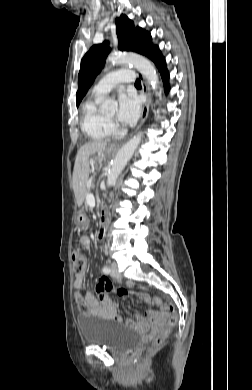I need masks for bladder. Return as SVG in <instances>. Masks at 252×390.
<instances>
[{"mask_svg":"<svg viewBox=\"0 0 252 390\" xmlns=\"http://www.w3.org/2000/svg\"><path fill=\"white\" fill-rule=\"evenodd\" d=\"M78 324L84 342L123 353L141 342L138 334L122 324L94 315L81 316Z\"/></svg>","mask_w":252,"mask_h":390,"instance_id":"31cf9c89","label":"bladder"}]
</instances>
